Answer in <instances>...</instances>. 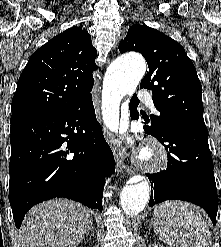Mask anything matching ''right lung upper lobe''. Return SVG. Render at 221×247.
<instances>
[{"mask_svg": "<svg viewBox=\"0 0 221 247\" xmlns=\"http://www.w3.org/2000/svg\"><path fill=\"white\" fill-rule=\"evenodd\" d=\"M90 34L72 27L40 47L22 71L11 123L68 112L89 100L97 69Z\"/></svg>", "mask_w": 221, "mask_h": 247, "instance_id": "right-lung-upper-lobe-1", "label": "right lung upper lobe"}]
</instances>
